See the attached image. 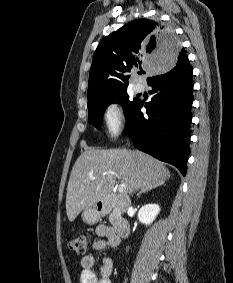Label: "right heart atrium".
I'll return each instance as SVG.
<instances>
[{
    "label": "right heart atrium",
    "instance_id": "d8ad5b80",
    "mask_svg": "<svg viewBox=\"0 0 233 283\" xmlns=\"http://www.w3.org/2000/svg\"><path fill=\"white\" fill-rule=\"evenodd\" d=\"M105 134L108 138H116L123 130L125 124L124 112L118 102L106 104L102 112Z\"/></svg>",
    "mask_w": 233,
    "mask_h": 283
}]
</instances>
